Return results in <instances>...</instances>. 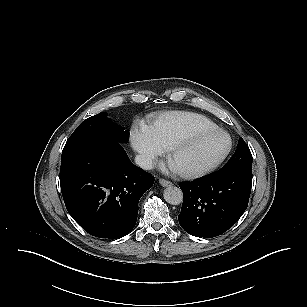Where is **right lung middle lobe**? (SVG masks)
<instances>
[{
    "mask_svg": "<svg viewBox=\"0 0 307 307\" xmlns=\"http://www.w3.org/2000/svg\"><path fill=\"white\" fill-rule=\"evenodd\" d=\"M129 132L99 113L84 120L67 140L62 157L99 142H127Z\"/></svg>",
    "mask_w": 307,
    "mask_h": 307,
    "instance_id": "obj_1",
    "label": "right lung middle lobe"
}]
</instances>
